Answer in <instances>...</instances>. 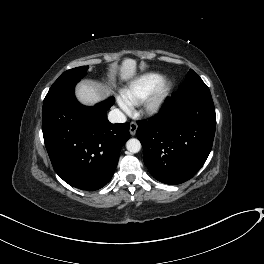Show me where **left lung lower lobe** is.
Here are the masks:
<instances>
[{"instance_id": "0a47b994", "label": "left lung lower lobe", "mask_w": 264, "mask_h": 264, "mask_svg": "<svg viewBox=\"0 0 264 264\" xmlns=\"http://www.w3.org/2000/svg\"><path fill=\"white\" fill-rule=\"evenodd\" d=\"M137 124L151 175L165 184L183 183L201 169L212 148L216 114L210 90H178L159 114Z\"/></svg>"}]
</instances>
